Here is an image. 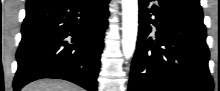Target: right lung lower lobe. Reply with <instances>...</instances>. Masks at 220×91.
<instances>
[{
	"label": "right lung lower lobe",
	"mask_w": 220,
	"mask_h": 91,
	"mask_svg": "<svg viewBox=\"0 0 220 91\" xmlns=\"http://www.w3.org/2000/svg\"><path fill=\"white\" fill-rule=\"evenodd\" d=\"M109 0H45L26 6L14 91L41 78L97 90Z\"/></svg>",
	"instance_id": "1"
}]
</instances>
